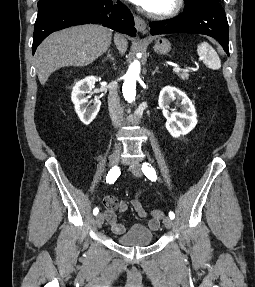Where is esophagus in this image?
Masks as SVG:
<instances>
[{"label":"esophagus","mask_w":255,"mask_h":287,"mask_svg":"<svg viewBox=\"0 0 255 287\" xmlns=\"http://www.w3.org/2000/svg\"><path fill=\"white\" fill-rule=\"evenodd\" d=\"M134 20H135V26H136L137 31L142 34H146L147 33L146 22L141 17H138L137 15H134Z\"/></svg>","instance_id":"34e87169"}]
</instances>
